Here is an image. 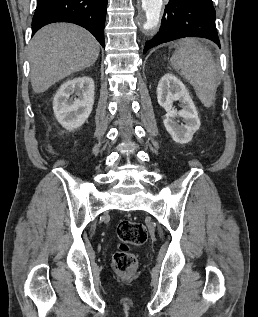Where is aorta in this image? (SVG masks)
Listing matches in <instances>:
<instances>
[{"instance_id": "aorta-1", "label": "aorta", "mask_w": 258, "mask_h": 317, "mask_svg": "<svg viewBox=\"0 0 258 317\" xmlns=\"http://www.w3.org/2000/svg\"><path fill=\"white\" fill-rule=\"evenodd\" d=\"M163 0H142V9L146 15L145 30H152L157 27L160 20V13Z\"/></svg>"}]
</instances>
